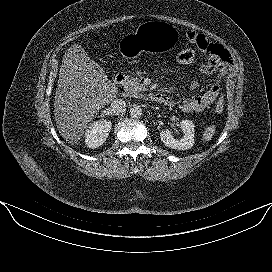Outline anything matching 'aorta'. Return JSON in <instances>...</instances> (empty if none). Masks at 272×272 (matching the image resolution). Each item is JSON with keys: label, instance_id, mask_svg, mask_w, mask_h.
I'll list each match as a JSON object with an SVG mask.
<instances>
[{"label": "aorta", "instance_id": "aorta-1", "mask_svg": "<svg viewBox=\"0 0 272 272\" xmlns=\"http://www.w3.org/2000/svg\"><path fill=\"white\" fill-rule=\"evenodd\" d=\"M130 116L132 118H139L142 115V108L139 105H132L129 110Z\"/></svg>", "mask_w": 272, "mask_h": 272}]
</instances>
